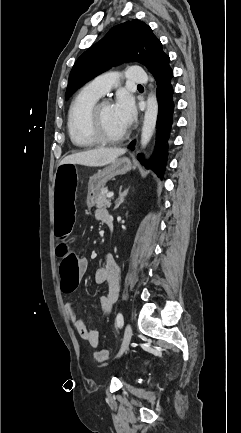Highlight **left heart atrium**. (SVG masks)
I'll use <instances>...</instances> for the list:
<instances>
[{"instance_id": "left-heart-atrium-1", "label": "left heart atrium", "mask_w": 241, "mask_h": 433, "mask_svg": "<svg viewBox=\"0 0 241 433\" xmlns=\"http://www.w3.org/2000/svg\"><path fill=\"white\" fill-rule=\"evenodd\" d=\"M120 122L127 129L135 119V107L131 97L127 94H120L112 105Z\"/></svg>"}]
</instances>
